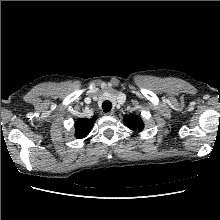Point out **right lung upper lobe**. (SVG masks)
Wrapping results in <instances>:
<instances>
[{"label":"right lung upper lobe","instance_id":"cb5924a9","mask_svg":"<svg viewBox=\"0 0 220 220\" xmlns=\"http://www.w3.org/2000/svg\"><path fill=\"white\" fill-rule=\"evenodd\" d=\"M95 120H96V117H93L91 119L81 118L78 121H76L75 123L76 138L81 139V138L86 137L89 134Z\"/></svg>","mask_w":220,"mask_h":220}]
</instances>
